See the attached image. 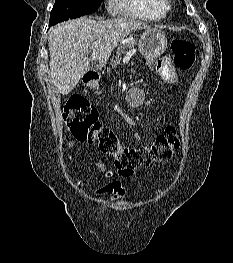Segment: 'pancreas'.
Instances as JSON below:
<instances>
[{
	"mask_svg": "<svg viewBox=\"0 0 233 263\" xmlns=\"http://www.w3.org/2000/svg\"><path fill=\"white\" fill-rule=\"evenodd\" d=\"M135 45H136V42L134 40L121 44L117 48L115 59H112V67H115L117 65V63L120 60V55L125 54L128 49L134 48Z\"/></svg>",
	"mask_w": 233,
	"mask_h": 263,
	"instance_id": "obj_1",
	"label": "pancreas"
}]
</instances>
